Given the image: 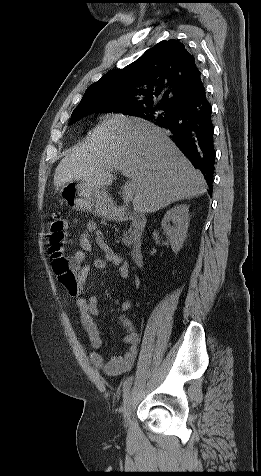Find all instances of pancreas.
Returning <instances> with one entry per match:
<instances>
[{
	"instance_id": "cf45deb5",
	"label": "pancreas",
	"mask_w": 261,
	"mask_h": 476,
	"mask_svg": "<svg viewBox=\"0 0 261 476\" xmlns=\"http://www.w3.org/2000/svg\"><path fill=\"white\" fill-rule=\"evenodd\" d=\"M132 241H133V231H132V228H130L128 231L124 233L122 242L126 246H130L132 244Z\"/></svg>"
}]
</instances>
